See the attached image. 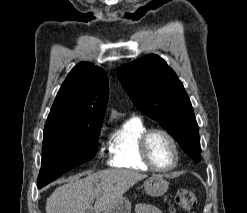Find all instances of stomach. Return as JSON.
I'll list each match as a JSON object with an SVG mask.
<instances>
[{"label": "stomach", "mask_w": 247, "mask_h": 213, "mask_svg": "<svg viewBox=\"0 0 247 213\" xmlns=\"http://www.w3.org/2000/svg\"><path fill=\"white\" fill-rule=\"evenodd\" d=\"M143 185L146 193L154 197L163 195L169 187V183L160 175H153ZM102 213H131V203L127 198L122 197Z\"/></svg>", "instance_id": "0dacf381"}]
</instances>
